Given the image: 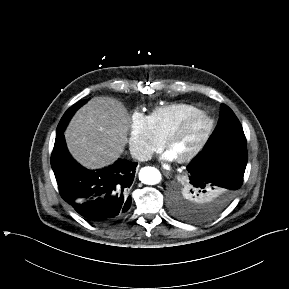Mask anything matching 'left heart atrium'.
I'll return each mask as SVG.
<instances>
[{
    "label": "left heart atrium",
    "instance_id": "obj_1",
    "mask_svg": "<svg viewBox=\"0 0 289 289\" xmlns=\"http://www.w3.org/2000/svg\"><path fill=\"white\" fill-rule=\"evenodd\" d=\"M164 159L166 160H173L174 158H176L170 151H167L164 156H163Z\"/></svg>",
    "mask_w": 289,
    "mask_h": 289
}]
</instances>
